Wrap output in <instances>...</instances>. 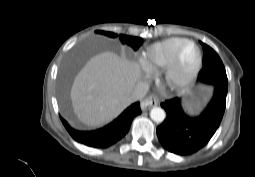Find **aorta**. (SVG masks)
Listing matches in <instances>:
<instances>
[{
    "instance_id": "obj_1",
    "label": "aorta",
    "mask_w": 255,
    "mask_h": 177,
    "mask_svg": "<svg viewBox=\"0 0 255 177\" xmlns=\"http://www.w3.org/2000/svg\"><path fill=\"white\" fill-rule=\"evenodd\" d=\"M150 117L154 122L161 123L166 117L165 111L162 108L154 107L150 111Z\"/></svg>"
}]
</instances>
